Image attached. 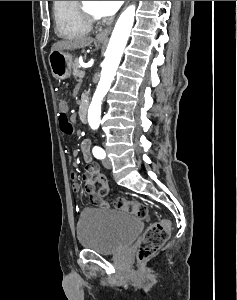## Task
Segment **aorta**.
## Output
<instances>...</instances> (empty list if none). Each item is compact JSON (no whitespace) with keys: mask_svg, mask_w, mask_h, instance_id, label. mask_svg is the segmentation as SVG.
<instances>
[{"mask_svg":"<svg viewBox=\"0 0 237 300\" xmlns=\"http://www.w3.org/2000/svg\"><path fill=\"white\" fill-rule=\"evenodd\" d=\"M135 9L136 7L132 5V7H128L126 11H123L111 35L106 57L102 63L100 81L88 109V123L91 129H98L100 125L102 101L111 87V83L116 75L121 57L130 37L134 23Z\"/></svg>","mask_w":237,"mask_h":300,"instance_id":"1","label":"aorta"}]
</instances>
